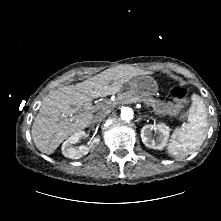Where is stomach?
Masks as SVG:
<instances>
[{
  "mask_svg": "<svg viewBox=\"0 0 221 221\" xmlns=\"http://www.w3.org/2000/svg\"><path fill=\"white\" fill-rule=\"evenodd\" d=\"M152 81L145 76L137 77L125 83V90L139 96H148L154 92Z\"/></svg>",
  "mask_w": 221,
  "mask_h": 221,
  "instance_id": "obj_1",
  "label": "stomach"
}]
</instances>
